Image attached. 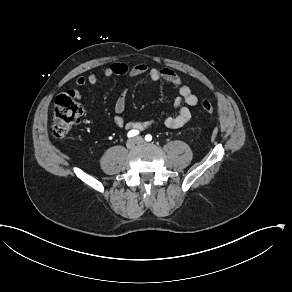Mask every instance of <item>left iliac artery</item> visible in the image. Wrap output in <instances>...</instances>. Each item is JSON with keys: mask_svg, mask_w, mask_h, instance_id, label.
I'll list each match as a JSON object with an SVG mask.
<instances>
[{"mask_svg": "<svg viewBox=\"0 0 292 292\" xmlns=\"http://www.w3.org/2000/svg\"><path fill=\"white\" fill-rule=\"evenodd\" d=\"M145 140L148 141V142H150L152 140V136L150 134H147L145 136Z\"/></svg>", "mask_w": 292, "mask_h": 292, "instance_id": "left-iliac-artery-1", "label": "left iliac artery"}]
</instances>
